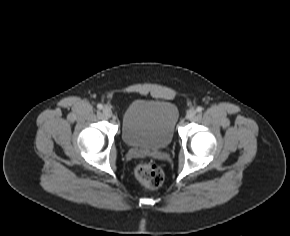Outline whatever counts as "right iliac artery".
Masks as SVG:
<instances>
[{"label":"right iliac artery","instance_id":"82829eb1","mask_svg":"<svg viewBox=\"0 0 290 236\" xmlns=\"http://www.w3.org/2000/svg\"><path fill=\"white\" fill-rule=\"evenodd\" d=\"M97 108H98V109H102V108H103V105H102V104H98V105H97Z\"/></svg>","mask_w":290,"mask_h":236}]
</instances>
